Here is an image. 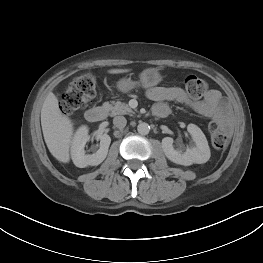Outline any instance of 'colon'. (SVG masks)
I'll use <instances>...</instances> for the list:
<instances>
[{
    "mask_svg": "<svg viewBox=\"0 0 263 263\" xmlns=\"http://www.w3.org/2000/svg\"><path fill=\"white\" fill-rule=\"evenodd\" d=\"M185 90L192 98H201L205 95L207 82L195 75L186 77ZM96 94V81L90 74L76 77L63 91L61 97V109L66 114H71L85 107ZM211 143L215 149L221 150L227 147L229 138L227 133L216 122L209 125Z\"/></svg>",
    "mask_w": 263,
    "mask_h": 263,
    "instance_id": "5ec220e1",
    "label": "colon"
}]
</instances>
